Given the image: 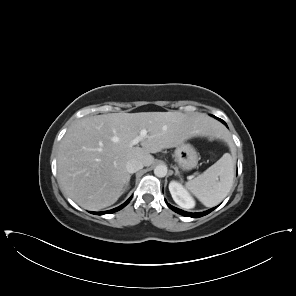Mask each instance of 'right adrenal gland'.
Returning <instances> with one entry per match:
<instances>
[{"mask_svg":"<svg viewBox=\"0 0 296 296\" xmlns=\"http://www.w3.org/2000/svg\"><path fill=\"white\" fill-rule=\"evenodd\" d=\"M130 178H131V175L129 176V179H128V182H127V184H126V186H125V189H127V187L129 186ZM125 189H124V190H125Z\"/></svg>","mask_w":296,"mask_h":296,"instance_id":"obj_1","label":"right adrenal gland"}]
</instances>
